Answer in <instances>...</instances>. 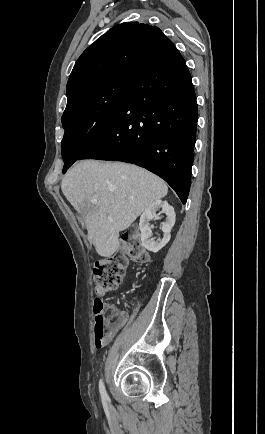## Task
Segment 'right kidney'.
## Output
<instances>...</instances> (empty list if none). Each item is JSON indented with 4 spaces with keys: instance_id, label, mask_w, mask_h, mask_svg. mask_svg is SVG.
<instances>
[{
    "instance_id": "ca27d5eb",
    "label": "right kidney",
    "mask_w": 265,
    "mask_h": 434,
    "mask_svg": "<svg viewBox=\"0 0 265 434\" xmlns=\"http://www.w3.org/2000/svg\"><path fill=\"white\" fill-rule=\"evenodd\" d=\"M159 208H162V212L166 214V222H163L161 226L162 232H164V236L162 238V242H154V240H151L152 236V230L153 226H150L149 222L150 220H153V218H156L157 210ZM175 212L174 208L168 204V202H162V200H156V202H153V204H150V206H147L146 210H144L140 222H139V230L141 232V242L142 246L146 248V250H149V252H159L161 248H164L166 244H168L170 238H171V230L175 224Z\"/></svg>"
}]
</instances>
